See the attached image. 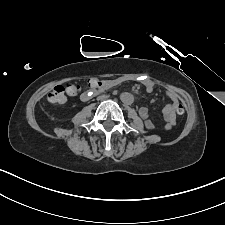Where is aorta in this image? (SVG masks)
<instances>
[{
	"mask_svg": "<svg viewBox=\"0 0 225 225\" xmlns=\"http://www.w3.org/2000/svg\"><path fill=\"white\" fill-rule=\"evenodd\" d=\"M120 99L124 104H131L134 101L133 95L127 92L122 93Z\"/></svg>",
	"mask_w": 225,
	"mask_h": 225,
	"instance_id": "1",
	"label": "aorta"
}]
</instances>
